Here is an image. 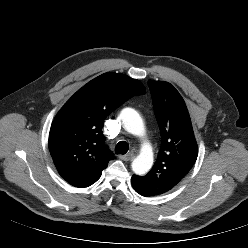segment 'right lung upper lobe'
I'll use <instances>...</instances> for the list:
<instances>
[{"label": "right lung upper lobe", "instance_id": "obj_1", "mask_svg": "<svg viewBox=\"0 0 248 248\" xmlns=\"http://www.w3.org/2000/svg\"><path fill=\"white\" fill-rule=\"evenodd\" d=\"M141 82L120 73H104L79 89L56 115L49 150L59 174L74 187L95 183L114 159L104 145V119L135 95Z\"/></svg>", "mask_w": 248, "mask_h": 248}]
</instances>
